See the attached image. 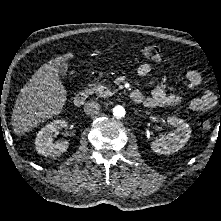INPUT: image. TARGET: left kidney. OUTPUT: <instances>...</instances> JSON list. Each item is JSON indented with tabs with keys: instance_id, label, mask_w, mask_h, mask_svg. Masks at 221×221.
Segmentation results:
<instances>
[{
	"instance_id": "left-kidney-1",
	"label": "left kidney",
	"mask_w": 221,
	"mask_h": 221,
	"mask_svg": "<svg viewBox=\"0 0 221 221\" xmlns=\"http://www.w3.org/2000/svg\"><path fill=\"white\" fill-rule=\"evenodd\" d=\"M167 123L175 129L151 142L150 148L155 153L163 155L173 154L180 150L191 136V128L183 119L168 117Z\"/></svg>"
}]
</instances>
